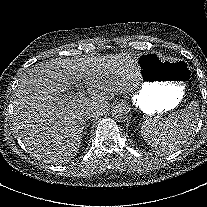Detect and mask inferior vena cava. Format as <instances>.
Here are the masks:
<instances>
[{
  "label": "inferior vena cava",
  "mask_w": 207,
  "mask_h": 207,
  "mask_svg": "<svg viewBox=\"0 0 207 207\" xmlns=\"http://www.w3.org/2000/svg\"><path fill=\"white\" fill-rule=\"evenodd\" d=\"M95 113H99V110H95ZM95 113H94V114H95Z\"/></svg>",
  "instance_id": "inferior-vena-cava-1"
}]
</instances>
